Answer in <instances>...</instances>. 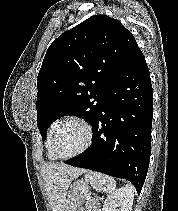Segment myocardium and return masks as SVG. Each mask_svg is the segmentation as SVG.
<instances>
[{"label":"myocardium","mask_w":178,"mask_h":211,"mask_svg":"<svg viewBox=\"0 0 178 211\" xmlns=\"http://www.w3.org/2000/svg\"><path fill=\"white\" fill-rule=\"evenodd\" d=\"M70 122L78 123V124H80V125H82L84 127V129L86 131V140H85L84 145L82 146V148L79 151H77L74 154L68 155V156H63V155H60L57 152V149H56V137H57V134H58L59 130L65 124L70 123ZM92 141H93V129H92L91 124L86 119H84L82 117L69 116V117L61 120V122L58 124V126L54 130L53 136H52L51 147H52V151L55 154V156L57 157V159L66 160V159H71V158L77 157V156L83 154L84 152H86L89 149V147L91 146Z\"/></svg>","instance_id":"f54148a6"}]
</instances>
